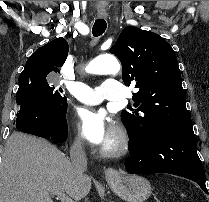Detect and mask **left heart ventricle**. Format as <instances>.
Masks as SVG:
<instances>
[{"label": "left heart ventricle", "mask_w": 209, "mask_h": 202, "mask_svg": "<svg viewBox=\"0 0 209 202\" xmlns=\"http://www.w3.org/2000/svg\"><path fill=\"white\" fill-rule=\"evenodd\" d=\"M115 136H116V134L114 135V136H112L109 140H108V142L105 144V145H110V144H112L114 141H115ZM104 145V146H105Z\"/></svg>", "instance_id": "b2bd125f"}]
</instances>
